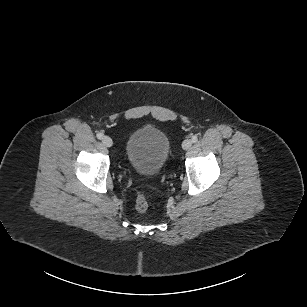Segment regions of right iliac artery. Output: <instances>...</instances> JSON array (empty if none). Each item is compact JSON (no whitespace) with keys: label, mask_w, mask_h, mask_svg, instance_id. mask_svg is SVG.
I'll use <instances>...</instances> for the list:
<instances>
[{"label":"right iliac artery","mask_w":307,"mask_h":307,"mask_svg":"<svg viewBox=\"0 0 307 307\" xmlns=\"http://www.w3.org/2000/svg\"><path fill=\"white\" fill-rule=\"evenodd\" d=\"M96 136H97L98 139H102L103 138V134L101 132H98L96 134Z\"/></svg>","instance_id":"right-iliac-artery-1"}]
</instances>
